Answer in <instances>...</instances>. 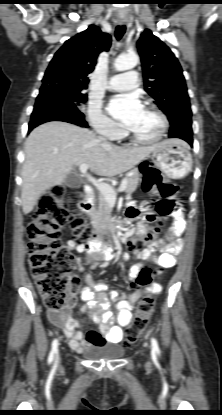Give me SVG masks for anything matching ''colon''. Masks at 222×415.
Masks as SVG:
<instances>
[{"label":"colon","mask_w":222,"mask_h":415,"mask_svg":"<svg viewBox=\"0 0 222 415\" xmlns=\"http://www.w3.org/2000/svg\"><path fill=\"white\" fill-rule=\"evenodd\" d=\"M143 190L157 199L156 212L160 216L170 215L178 205L177 187L165 182L159 170L151 165L142 167ZM150 220H154L152 216ZM69 227L76 239L87 247L99 241V235L77 210H70L66 202V189L56 184L44 193L38 202L36 212L28 224L29 264L45 306L49 310L63 309L69 295L76 290L73 276L75 264L72 252L62 246L61 229ZM158 234L153 227L142 240L152 242ZM139 240H132L131 244ZM154 273L148 268L140 271L136 285L149 286ZM155 309V298L146 295L141 298L132 326L125 333V344L131 345L145 331Z\"/></svg>","instance_id":"1"}]
</instances>
